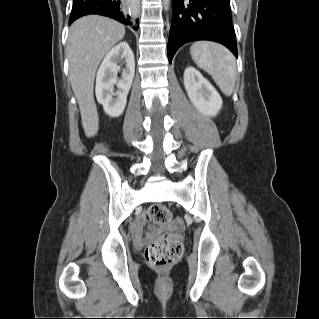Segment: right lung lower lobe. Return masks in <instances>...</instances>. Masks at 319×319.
Wrapping results in <instances>:
<instances>
[{"label": "right lung lower lobe", "mask_w": 319, "mask_h": 319, "mask_svg": "<svg viewBox=\"0 0 319 319\" xmlns=\"http://www.w3.org/2000/svg\"><path fill=\"white\" fill-rule=\"evenodd\" d=\"M121 6V0H73L69 25L82 16L98 14L108 16L138 30L139 20L134 22L129 15H124Z\"/></svg>", "instance_id": "obj_1"}]
</instances>
